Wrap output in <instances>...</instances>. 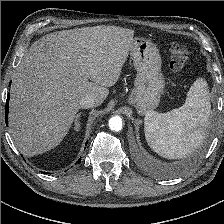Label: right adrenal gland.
I'll return each instance as SVG.
<instances>
[{
  "instance_id": "1",
  "label": "right adrenal gland",
  "mask_w": 224,
  "mask_h": 224,
  "mask_svg": "<svg viewBox=\"0 0 224 224\" xmlns=\"http://www.w3.org/2000/svg\"><path fill=\"white\" fill-rule=\"evenodd\" d=\"M82 112L78 113L76 115V118H75V122H74V129L76 131H78L80 129V123H79V120H80V116H81Z\"/></svg>"
}]
</instances>
